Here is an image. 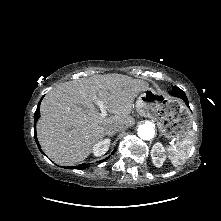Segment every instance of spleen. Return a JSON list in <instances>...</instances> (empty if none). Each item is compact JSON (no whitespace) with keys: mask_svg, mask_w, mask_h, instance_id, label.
<instances>
[{"mask_svg":"<svg viewBox=\"0 0 221 221\" xmlns=\"http://www.w3.org/2000/svg\"><path fill=\"white\" fill-rule=\"evenodd\" d=\"M192 137L193 132L189 131L183 140L167 147L168 157L174 166L181 165V163L187 159L193 145Z\"/></svg>","mask_w":221,"mask_h":221,"instance_id":"obj_1","label":"spleen"}]
</instances>
